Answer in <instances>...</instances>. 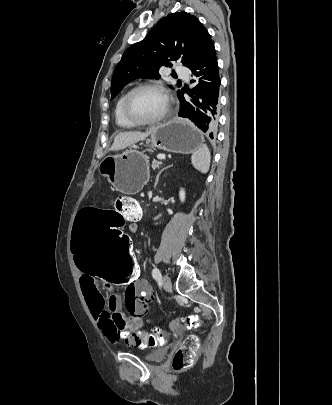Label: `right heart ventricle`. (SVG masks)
Masks as SVG:
<instances>
[{"instance_id": "obj_1", "label": "right heart ventricle", "mask_w": 332, "mask_h": 405, "mask_svg": "<svg viewBox=\"0 0 332 405\" xmlns=\"http://www.w3.org/2000/svg\"><path fill=\"white\" fill-rule=\"evenodd\" d=\"M125 94L126 93L121 94L115 103L114 118H115V122L118 126L123 127V128H131V127H134L135 125L132 124L131 122H129L128 120H126L121 111V104H122V100H123Z\"/></svg>"}]
</instances>
